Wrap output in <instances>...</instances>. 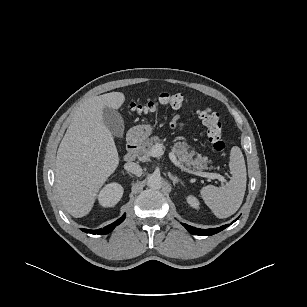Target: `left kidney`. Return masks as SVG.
<instances>
[{
    "label": "left kidney",
    "mask_w": 307,
    "mask_h": 307,
    "mask_svg": "<svg viewBox=\"0 0 307 307\" xmlns=\"http://www.w3.org/2000/svg\"><path fill=\"white\" fill-rule=\"evenodd\" d=\"M186 200H187V203H188L191 207H193V208H195V209H199L200 203H199L198 199H197L195 196L189 195V196L186 198Z\"/></svg>",
    "instance_id": "obj_1"
}]
</instances>
